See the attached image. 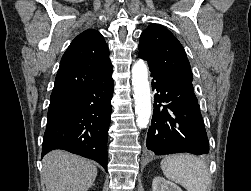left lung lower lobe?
<instances>
[{
  "instance_id": "0a47b994",
  "label": "left lung lower lobe",
  "mask_w": 251,
  "mask_h": 191,
  "mask_svg": "<svg viewBox=\"0 0 251 191\" xmlns=\"http://www.w3.org/2000/svg\"><path fill=\"white\" fill-rule=\"evenodd\" d=\"M149 69L156 94L147 149L156 155L208 154L209 142L192 83L172 79L151 66Z\"/></svg>"
}]
</instances>
